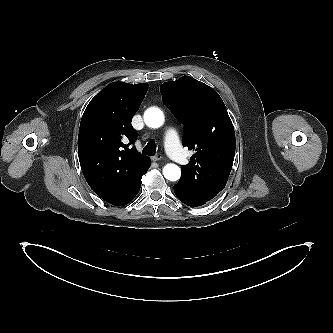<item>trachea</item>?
I'll return each mask as SVG.
<instances>
[{"label":"trachea","mask_w":333,"mask_h":333,"mask_svg":"<svg viewBox=\"0 0 333 333\" xmlns=\"http://www.w3.org/2000/svg\"><path fill=\"white\" fill-rule=\"evenodd\" d=\"M143 154L153 156L156 153V144L153 141H150L147 143V145L144 147Z\"/></svg>","instance_id":"1"}]
</instances>
